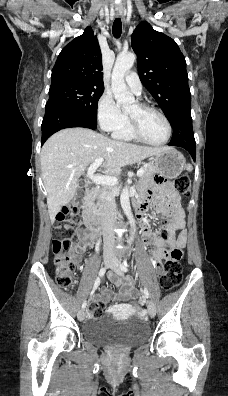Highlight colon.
<instances>
[{
    "instance_id": "1",
    "label": "colon",
    "mask_w": 228,
    "mask_h": 396,
    "mask_svg": "<svg viewBox=\"0 0 228 396\" xmlns=\"http://www.w3.org/2000/svg\"><path fill=\"white\" fill-rule=\"evenodd\" d=\"M175 188L181 195L190 193V179L188 175H182L174 182ZM79 202H73L58 213L55 223V238L52 241L53 264L57 283L65 290H71L74 282L75 262L73 253L70 251L71 238L75 236L74 223L78 214ZM167 222L163 220V224ZM161 236L166 241H171L175 233L164 228ZM167 257L164 261V270L160 276V285L163 290L171 291L177 288L181 282L182 267L180 260L182 250L171 243L166 246ZM103 306L100 302H91L88 307L90 317H98L102 314Z\"/></svg>"
}]
</instances>
